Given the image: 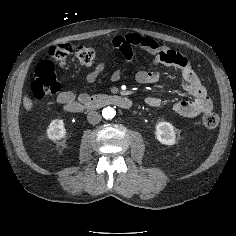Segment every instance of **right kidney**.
<instances>
[{
  "label": "right kidney",
  "instance_id": "1",
  "mask_svg": "<svg viewBox=\"0 0 236 236\" xmlns=\"http://www.w3.org/2000/svg\"><path fill=\"white\" fill-rule=\"evenodd\" d=\"M47 136L53 141H60L66 136L63 120H53L47 129Z\"/></svg>",
  "mask_w": 236,
  "mask_h": 236
}]
</instances>
